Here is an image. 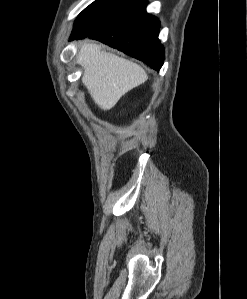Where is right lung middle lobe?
I'll return each mask as SVG.
<instances>
[{
	"label": "right lung middle lobe",
	"mask_w": 247,
	"mask_h": 299,
	"mask_svg": "<svg viewBox=\"0 0 247 299\" xmlns=\"http://www.w3.org/2000/svg\"><path fill=\"white\" fill-rule=\"evenodd\" d=\"M137 0H95L75 21L71 37L92 34L122 18Z\"/></svg>",
	"instance_id": "right-lung-middle-lobe-1"
}]
</instances>
